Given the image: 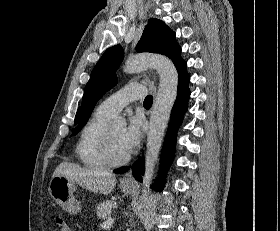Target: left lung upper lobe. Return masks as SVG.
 I'll list each match as a JSON object with an SVG mask.
<instances>
[{"label":"left lung upper lobe","instance_id":"obj_1","mask_svg":"<svg viewBox=\"0 0 280 231\" xmlns=\"http://www.w3.org/2000/svg\"><path fill=\"white\" fill-rule=\"evenodd\" d=\"M174 32L163 21L152 18L145 27L136 46L137 52H152L168 56L177 68L178 75L186 68L180 57V46L175 42ZM124 50L120 45L108 48L92 70L82 99L81 118L74 134L88 121L95 104L103 94L116 85L115 71L121 64Z\"/></svg>","mask_w":280,"mask_h":231}]
</instances>
